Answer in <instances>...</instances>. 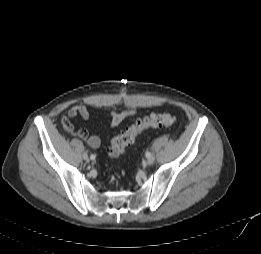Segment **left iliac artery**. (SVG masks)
<instances>
[{"instance_id": "obj_1", "label": "left iliac artery", "mask_w": 261, "mask_h": 254, "mask_svg": "<svg viewBox=\"0 0 261 254\" xmlns=\"http://www.w3.org/2000/svg\"><path fill=\"white\" fill-rule=\"evenodd\" d=\"M146 157L149 158L152 154L150 152H146Z\"/></svg>"}]
</instances>
